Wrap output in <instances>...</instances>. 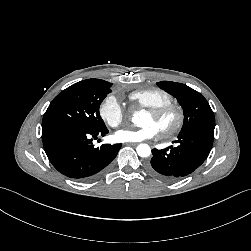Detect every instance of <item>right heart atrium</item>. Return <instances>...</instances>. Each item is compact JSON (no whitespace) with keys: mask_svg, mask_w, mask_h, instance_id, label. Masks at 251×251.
<instances>
[{"mask_svg":"<svg viewBox=\"0 0 251 251\" xmlns=\"http://www.w3.org/2000/svg\"><path fill=\"white\" fill-rule=\"evenodd\" d=\"M99 114L102 120L110 127L116 128L120 126L125 118L126 111L115 95H108L99 107Z\"/></svg>","mask_w":251,"mask_h":251,"instance_id":"right-heart-atrium-1","label":"right heart atrium"}]
</instances>
